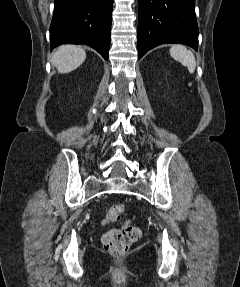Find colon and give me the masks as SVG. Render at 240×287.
Instances as JSON below:
<instances>
[{
  "label": "colon",
  "instance_id": "colon-1",
  "mask_svg": "<svg viewBox=\"0 0 240 287\" xmlns=\"http://www.w3.org/2000/svg\"><path fill=\"white\" fill-rule=\"evenodd\" d=\"M125 212V206L121 203L110 206L106 217L110 222H117ZM140 237V230L130 222L124 223L120 228H113L102 236L104 249L115 257L125 255L133 242Z\"/></svg>",
  "mask_w": 240,
  "mask_h": 287
}]
</instances>
